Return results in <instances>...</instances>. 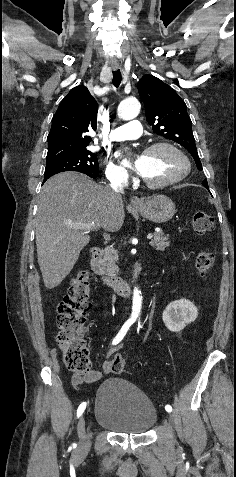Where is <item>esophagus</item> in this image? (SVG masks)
<instances>
[{"instance_id": "1", "label": "esophagus", "mask_w": 236, "mask_h": 477, "mask_svg": "<svg viewBox=\"0 0 236 477\" xmlns=\"http://www.w3.org/2000/svg\"><path fill=\"white\" fill-rule=\"evenodd\" d=\"M111 67H112V69L117 70L119 68V64H112ZM131 204L134 207H139V206L142 205V200L138 197H132L131 198Z\"/></svg>"}]
</instances>
